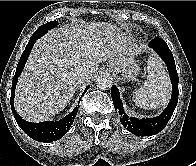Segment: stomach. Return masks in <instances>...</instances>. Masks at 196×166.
<instances>
[{
    "label": "stomach",
    "instance_id": "0dacf381",
    "mask_svg": "<svg viewBox=\"0 0 196 166\" xmlns=\"http://www.w3.org/2000/svg\"><path fill=\"white\" fill-rule=\"evenodd\" d=\"M109 66L116 74L127 80L134 79L139 72V66L134 56L130 55L117 57Z\"/></svg>",
    "mask_w": 196,
    "mask_h": 166
}]
</instances>
